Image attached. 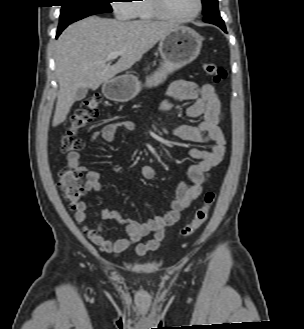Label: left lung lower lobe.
<instances>
[{
    "label": "left lung lower lobe",
    "mask_w": 304,
    "mask_h": 329,
    "mask_svg": "<svg viewBox=\"0 0 304 329\" xmlns=\"http://www.w3.org/2000/svg\"><path fill=\"white\" fill-rule=\"evenodd\" d=\"M203 21L206 22V23H211V24L217 25L224 32H226L225 24H224V21L222 20V18L220 16L218 6L212 8L207 13H205Z\"/></svg>",
    "instance_id": "1"
}]
</instances>
